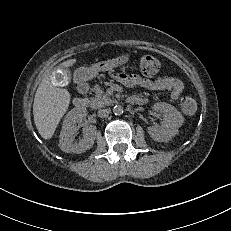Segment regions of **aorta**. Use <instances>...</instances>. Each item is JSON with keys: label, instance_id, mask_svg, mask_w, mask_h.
I'll use <instances>...</instances> for the list:
<instances>
[{"label": "aorta", "instance_id": "aorta-1", "mask_svg": "<svg viewBox=\"0 0 231 231\" xmlns=\"http://www.w3.org/2000/svg\"><path fill=\"white\" fill-rule=\"evenodd\" d=\"M123 112H124V109H123V107H122L121 105H115V106L113 107V113H114L115 115L120 116V115L123 114Z\"/></svg>", "mask_w": 231, "mask_h": 231}]
</instances>
